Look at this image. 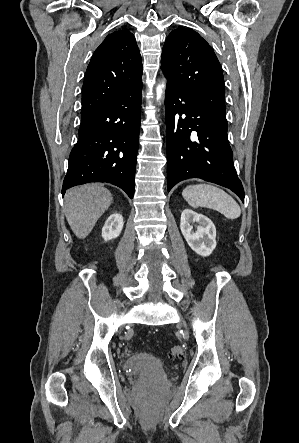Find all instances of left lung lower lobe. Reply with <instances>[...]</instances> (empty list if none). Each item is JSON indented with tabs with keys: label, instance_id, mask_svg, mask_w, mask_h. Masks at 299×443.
<instances>
[{
	"label": "left lung lower lobe",
	"instance_id": "0a47b994",
	"mask_svg": "<svg viewBox=\"0 0 299 443\" xmlns=\"http://www.w3.org/2000/svg\"><path fill=\"white\" fill-rule=\"evenodd\" d=\"M165 109L168 191L179 181L200 178L229 188L244 202L228 142L226 115L170 81Z\"/></svg>",
	"mask_w": 299,
	"mask_h": 443
}]
</instances>
